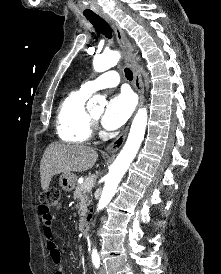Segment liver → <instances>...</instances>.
Wrapping results in <instances>:
<instances>
[{
  "label": "liver",
  "mask_w": 221,
  "mask_h": 274,
  "mask_svg": "<svg viewBox=\"0 0 221 274\" xmlns=\"http://www.w3.org/2000/svg\"><path fill=\"white\" fill-rule=\"evenodd\" d=\"M98 154L95 149L81 145L50 144L40 162L41 187L49 188L53 176L60 173L84 172L93 167Z\"/></svg>",
  "instance_id": "liver-1"
}]
</instances>
